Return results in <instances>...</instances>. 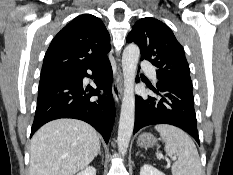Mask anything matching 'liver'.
<instances>
[{"instance_id": "1", "label": "liver", "mask_w": 233, "mask_h": 175, "mask_svg": "<svg viewBox=\"0 0 233 175\" xmlns=\"http://www.w3.org/2000/svg\"><path fill=\"white\" fill-rule=\"evenodd\" d=\"M96 130L81 120L57 119L32 137L30 175H74L97 156Z\"/></svg>"}]
</instances>
